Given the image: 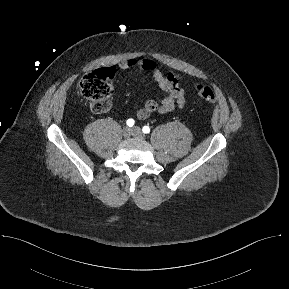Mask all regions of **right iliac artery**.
I'll list each match as a JSON object with an SVG mask.
<instances>
[{"instance_id": "obj_1", "label": "right iliac artery", "mask_w": 289, "mask_h": 289, "mask_svg": "<svg viewBox=\"0 0 289 289\" xmlns=\"http://www.w3.org/2000/svg\"><path fill=\"white\" fill-rule=\"evenodd\" d=\"M126 123H127V125H128L129 127H132V126L134 125L135 121L130 118V119L127 120Z\"/></svg>"}]
</instances>
